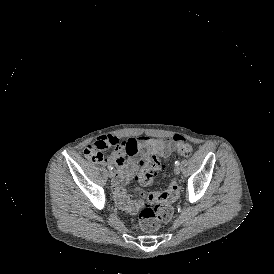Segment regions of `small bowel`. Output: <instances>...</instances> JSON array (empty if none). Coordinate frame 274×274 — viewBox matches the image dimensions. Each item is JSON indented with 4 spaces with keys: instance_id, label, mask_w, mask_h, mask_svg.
<instances>
[{
    "instance_id": "c3829d8e",
    "label": "small bowel",
    "mask_w": 274,
    "mask_h": 274,
    "mask_svg": "<svg viewBox=\"0 0 274 274\" xmlns=\"http://www.w3.org/2000/svg\"><path fill=\"white\" fill-rule=\"evenodd\" d=\"M184 141L185 138L181 135L173 138L140 136L126 140L107 135L87 146L84 154L92 163L113 166V184L117 186L131 182L146 159L151 156L166 157L174 146ZM108 147H113V152L105 155L103 151Z\"/></svg>"
}]
</instances>
